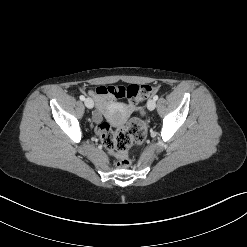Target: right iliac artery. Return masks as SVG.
Instances as JSON below:
<instances>
[{"mask_svg":"<svg viewBox=\"0 0 247 247\" xmlns=\"http://www.w3.org/2000/svg\"><path fill=\"white\" fill-rule=\"evenodd\" d=\"M80 100L84 101L85 100V97L83 95H81L80 97Z\"/></svg>","mask_w":247,"mask_h":247,"instance_id":"1","label":"right iliac artery"}]
</instances>
